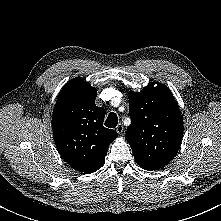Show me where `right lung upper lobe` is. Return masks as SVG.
Masks as SVG:
<instances>
[{
    "label": "right lung upper lobe",
    "instance_id": "obj_1",
    "mask_svg": "<svg viewBox=\"0 0 221 221\" xmlns=\"http://www.w3.org/2000/svg\"><path fill=\"white\" fill-rule=\"evenodd\" d=\"M97 90L81 78L67 82L52 115L54 141L62 158L82 173H93L105 163L117 132L103 126L105 110L95 105Z\"/></svg>",
    "mask_w": 221,
    "mask_h": 221
}]
</instances>
